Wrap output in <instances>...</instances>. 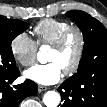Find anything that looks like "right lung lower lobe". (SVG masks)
I'll list each match as a JSON object with an SVG mask.
<instances>
[{"label":"right lung lower lobe","mask_w":107,"mask_h":107,"mask_svg":"<svg viewBox=\"0 0 107 107\" xmlns=\"http://www.w3.org/2000/svg\"><path fill=\"white\" fill-rule=\"evenodd\" d=\"M18 76H20L19 70L0 77V107H18L25 97L33 96L37 92V85L31 80H25L24 83L12 88L10 84Z\"/></svg>","instance_id":"1"}]
</instances>
